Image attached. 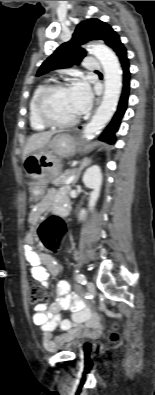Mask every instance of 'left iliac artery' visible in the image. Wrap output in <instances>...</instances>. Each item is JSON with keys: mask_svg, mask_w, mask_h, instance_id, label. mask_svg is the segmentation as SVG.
Listing matches in <instances>:
<instances>
[{"mask_svg": "<svg viewBox=\"0 0 155 395\" xmlns=\"http://www.w3.org/2000/svg\"><path fill=\"white\" fill-rule=\"evenodd\" d=\"M76 280L78 281V283H80L82 285H85L86 282H87L85 276L83 274H81V273L76 275Z\"/></svg>", "mask_w": 155, "mask_h": 395, "instance_id": "obj_1", "label": "left iliac artery"}]
</instances>
